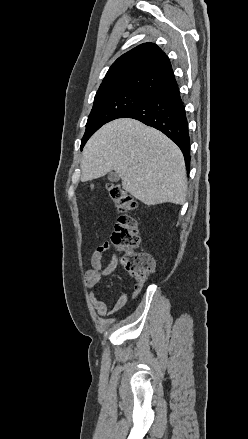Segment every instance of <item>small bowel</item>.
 Here are the masks:
<instances>
[{"label": "small bowel", "instance_id": "obj_1", "mask_svg": "<svg viewBox=\"0 0 248 439\" xmlns=\"http://www.w3.org/2000/svg\"><path fill=\"white\" fill-rule=\"evenodd\" d=\"M110 252V260L107 265H103L102 258L104 253ZM119 263L117 255L112 251L109 243H103L98 246L90 256L91 268L85 271V286L88 289V297L97 314L101 317L111 316L119 312L127 303L128 293H122L114 303H106L97 298L94 287L104 276L114 272ZM142 286H134L132 299H135L141 291Z\"/></svg>", "mask_w": 248, "mask_h": 439}]
</instances>
